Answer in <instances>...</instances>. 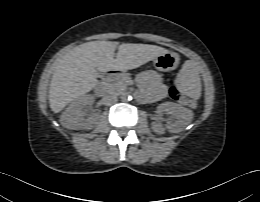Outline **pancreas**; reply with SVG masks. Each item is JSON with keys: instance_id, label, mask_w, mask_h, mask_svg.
Returning <instances> with one entry per match:
<instances>
[{"instance_id": "pancreas-1", "label": "pancreas", "mask_w": 260, "mask_h": 202, "mask_svg": "<svg viewBox=\"0 0 260 202\" xmlns=\"http://www.w3.org/2000/svg\"><path fill=\"white\" fill-rule=\"evenodd\" d=\"M127 80H129V76L124 75V76L120 77L119 79H117L116 81H114L112 83H105L104 85L108 92L120 93L126 89Z\"/></svg>"}]
</instances>
